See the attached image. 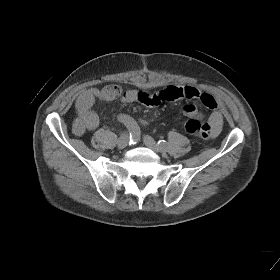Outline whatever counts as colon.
Here are the masks:
<instances>
[{
    "label": "colon",
    "instance_id": "1",
    "mask_svg": "<svg viewBox=\"0 0 280 280\" xmlns=\"http://www.w3.org/2000/svg\"><path fill=\"white\" fill-rule=\"evenodd\" d=\"M106 93L115 98L121 95L122 89L118 85H111L105 88ZM185 130L188 134L196 135L202 138L212 136L213 129L208 123H201L198 119H189L185 124Z\"/></svg>",
    "mask_w": 280,
    "mask_h": 280
}]
</instances>
